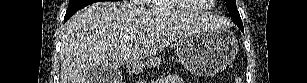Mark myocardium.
Masks as SVG:
<instances>
[{"label":"myocardium","instance_id":"myocardium-1","mask_svg":"<svg viewBox=\"0 0 307 83\" xmlns=\"http://www.w3.org/2000/svg\"><path fill=\"white\" fill-rule=\"evenodd\" d=\"M173 2L176 4V6L184 12H188V13H203L209 10L208 7H204V6H200V7H195V8H189L187 6H185L182 3V0H173Z\"/></svg>","mask_w":307,"mask_h":83}]
</instances>
